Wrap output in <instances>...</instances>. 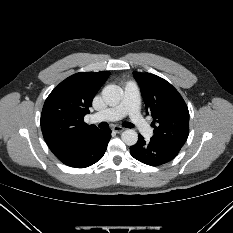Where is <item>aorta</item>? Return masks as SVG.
<instances>
[{"label":"aorta","mask_w":233,"mask_h":233,"mask_svg":"<svg viewBox=\"0 0 233 233\" xmlns=\"http://www.w3.org/2000/svg\"><path fill=\"white\" fill-rule=\"evenodd\" d=\"M121 96L122 89L117 85H107L102 90V98L109 106H116L119 104ZM121 138L126 145L132 146L137 143L138 134L133 129H127L122 133Z\"/></svg>","instance_id":"aorta-1"}]
</instances>
